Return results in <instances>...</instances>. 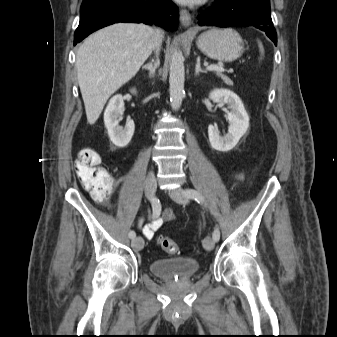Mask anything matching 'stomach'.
Wrapping results in <instances>:
<instances>
[{
	"label": "stomach",
	"instance_id": "1",
	"mask_svg": "<svg viewBox=\"0 0 337 337\" xmlns=\"http://www.w3.org/2000/svg\"><path fill=\"white\" fill-rule=\"evenodd\" d=\"M196 44L206 56L224 62L238 59L244 50L242 38L233 29H210L199 36Z\"/></svg>",
	"mask_w": 337,
	"mask_h": 337
}]
</instances>
